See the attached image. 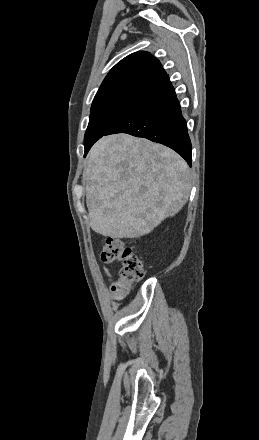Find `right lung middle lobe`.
<instances>
[{
    "mask_svg": "<svg viewBox=\"0 0 259 440\" xmlns=\"http://www.w3.org/2000/svg\"><path fill=\"white\" fill-rule=\"evenodd\" d=\"M147 92L123 91L94 98L90 121L84 136V145L102 137L110 128L124 118Z\"/></svg>",
    "mask_w": 259,
    "mask_h": 440,
    "instance_id": "dd1d6c3e",
    "label": "right lung middle lobe"
}]
</instances>
